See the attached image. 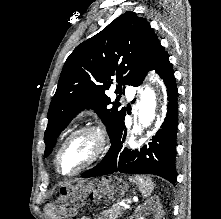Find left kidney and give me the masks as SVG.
Instances as JSON below:
<instances>
[{"label":"left kidney","mask_w":221,"mask_h":219,"mask_svg":"<svg viewBox=\"0 0 221 219\" xmlns=\"http://www.w3.org/2000/svg\"><path fill=\"white\" fill-rule=\"evenodd\" d=\"M153 214V219H162V210L158 197H151L144 204L136 208L130 219H145L149 213Z\"/></svg>","instance_id":"1"}]
</instances>
